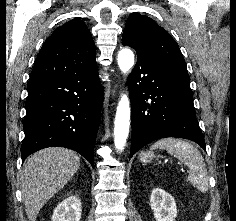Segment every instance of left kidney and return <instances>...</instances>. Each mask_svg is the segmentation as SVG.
<instances>
[{
  "instance_id": "left-kidney-1",
  "label": "left kidney",
  "mask_w": 236,
  "mask_h": 221,
  "mask_svg": "<svg viewBox=\"0 0 236 221\" xmlns=\"http://www.w3.org/2000/svg\"><path fill=\"white\" fill-rule=\"evenodd\" d=\"M156 221H175L177 207L174 198L161 188H154L150 197Z\"/></svg>"
}]
</instances>
